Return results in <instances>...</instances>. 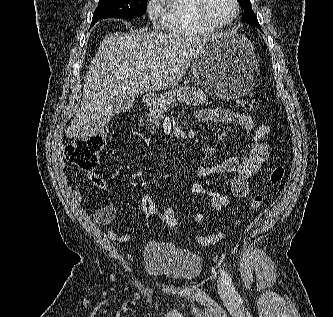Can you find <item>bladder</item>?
<instances>
[{
    "instance_id": "1",
    "label": "bladder",
    "mask_w": 333,
    "mask_h": 317,
    "mask_svg": "<svg viewBox=\"0 0 333 317\" xmlns=\"http://www.w3.org/2000/svg\"><path fill=\"white\" fill-rule=\"evenodd\" d=\"M143 262L149 274L179 282L197 279L203 268L202 258L195 252L161 244H148L143 250Z\"/></svg>"
}]
</instances>
